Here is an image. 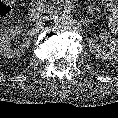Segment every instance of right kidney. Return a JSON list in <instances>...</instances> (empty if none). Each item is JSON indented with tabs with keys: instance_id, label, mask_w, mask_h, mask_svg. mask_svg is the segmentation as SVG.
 I'll return each mask as SVG.
<instances>
[{
	"instance_id": "right-kidney-1",
	"label": "right kidney",
	"mask_w": 118,
	"mask_h": 118,
	"mask_svg": "<svg viewBox=\"0 0 118 118\" xmlns=\"http://www.w3.org/2000/svg\"><path fill=\"white\" fill-rule=\"evenodd\" d=\"M23 32L22 26H13L8 28L0 36V55L7 58H17L24 54L25 50L29 48V42L26 41L19 49H11L9 44L15 35Z\"/></svg>"
}]
</instances>
